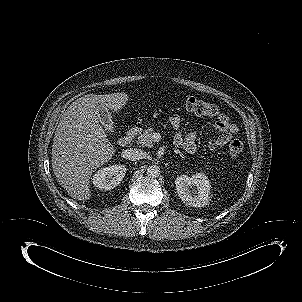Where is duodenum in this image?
I'll list each match as a JSON object with an SVG mask.
<instances>
[{"label": "duodenum", "mask_w": 302, "mask_h": 302, "mask_svg": "<svg viewBox=\"0 0 302 302\" xmlns=\"http://www.w3.org/2000/svg\"><path fill=\"white\" fill-rule=\"evenodd\" d=\"M138 133L137 127H131L126 134L119 140V144L121 146H126L132 142V140L135 138V136Z\"/></svg>", "instance_id": "obj_1"}]
</instances>
